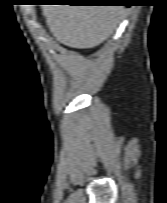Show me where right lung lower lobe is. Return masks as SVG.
<instances>
[{
    "mask_svg": "<svg viewBox=\"0 0 167 203\" xmlns=\"http://www.w3.org/2000/svg\"><path fill=\"white\" fill-rule=\"evenodd\" d=\"M96 1H109V5H116V3H112V2H116L117 0H96ZM111 2V4H110ZM104 3V2H103ZM106 3V2H105ZM108 3V2H107ZM129 5V4H127Z\"/></svg>",
    "mask_w": 167,
    "mask_h": 203,
    "instance_id": "right-lung-lower-lobe-1",
    "label": "right lung lower lobe"
}]
</instances>
